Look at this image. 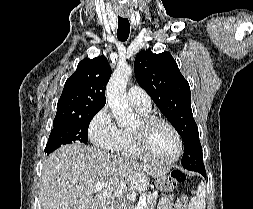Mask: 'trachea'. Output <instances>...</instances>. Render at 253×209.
<instances>
[{
	"instance_id": "3493384b",
	"label": "trachea",
	"mask_w": 253,
	"mask_h": 209,
	"mask_svg": "<svg viewBox=\"0 0 253 209\" xmlns=\"http://www.w3.org/2000/svg\"><path fill=\"white\" fill-rule=\"evenodd\" d=\"M130 33V24L127 18L118 16L117 38L119 41H126Z\"/></svg>"
}]
</instances>
